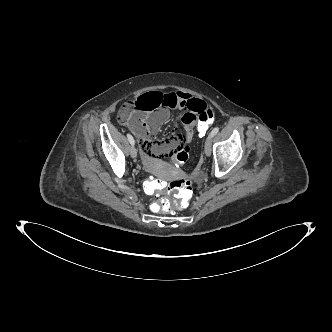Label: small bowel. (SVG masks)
Segmentation results:
<instances>
[{
	"label": "small bowel",
	"instance_id": "1",
	"mask_svg": "<svg viewBox=\"0 0 332 332\" xmlns=\"http://www.w3.org/2000/svg\"><path fill=\"white\" fill-rule=\"evenodd\" d=\"M205 109L206 102L188 93H168L160 88H149L140 93L134 107L123 112V120L140 142L145 164L151 165L161 158L165 162L167 155L189 145L193 137L192 128L196 127L198 115ZM171 110L183 112L181 120L185 132L181 138L157 143L154 138L168 120Z\"/></svg>",
	"mask_w": 332,
	"mask_h": 332
}]
</instances>
